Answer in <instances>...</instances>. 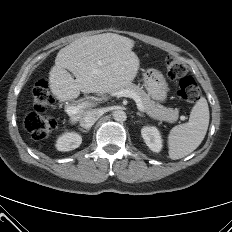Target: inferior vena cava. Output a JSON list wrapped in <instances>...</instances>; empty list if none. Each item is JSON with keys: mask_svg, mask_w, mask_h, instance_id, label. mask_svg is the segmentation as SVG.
Instances as JSON below:
<instances>
[{"mask_svg": "<svg viewBox=\"0 0 232 232\" xmlns=\"http://www.w3.org/2000/svg\"><path fill=\"white\" fill-rule=\"evenodd\" d=\"M103 112L100 109H91L81 116L80 125L84 128H90L101 116Z\"/></svg>", "mask_w": 232, "mask_h": 232, "instance_id": "1", "label": "inferior vena cava"}]
</instances>
